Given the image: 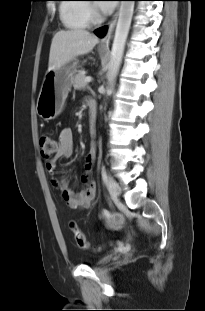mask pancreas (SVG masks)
Returning <instances> with one entry per match:
<instances>
[{
	"mask_svg": "<svg viewBox=\"0 0 205 311\" xmlns=\"http://www.w3.org/2000/svg\"><path fill=\"white\" fill-rule=\"evenodd\" d=\"M85 71L80 70L77 74L74 75L72 79V83L74 86V89L77 90H85L87 83L85 82Z\"/></svg>",
	"mask_w": 205,
	"mask_h": 311,
	"instance_id": "pancreas-1",
	"label": "pancreas"
}]
</instances>
